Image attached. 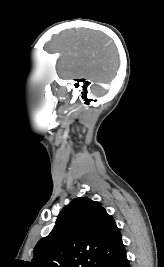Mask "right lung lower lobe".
Here are the masks:
<instances>
[{
  "mask_svg": "<svg viewBox=\"0 0 164 267\" xmlns=\"http://www.w3.org/2000/svg\"><path fill=\"white\" fill-rule=\"evenodd\" d=\"M96 267H130L125 248L105 257Z\"/></svg>",
  "mask_w": 164,
  "mask_h": 267,
  "instance_id": "98d812e1",
  "label": "right lung lower lobe"
}]
</instances>
